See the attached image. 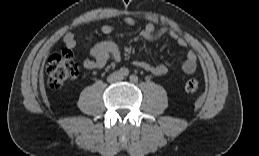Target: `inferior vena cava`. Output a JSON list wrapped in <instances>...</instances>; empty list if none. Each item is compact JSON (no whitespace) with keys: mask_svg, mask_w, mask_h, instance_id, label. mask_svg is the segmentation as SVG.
<instances>
[{"mask_svg":"<svg viewBox=\"0 0 259 156\" xmlns=\"http://www.w3.org/2000/svg\"><path fill=\"white\" fill-rule=\"evenodd\" d=\"M120 79H122V75H120L119 73H113L110 76V81H117V80H120Z\"/></svg>","mask_w":259,"mask_h":156,"instance_id":"602c4592","label":"inferior vena cava"}]
</instances>
